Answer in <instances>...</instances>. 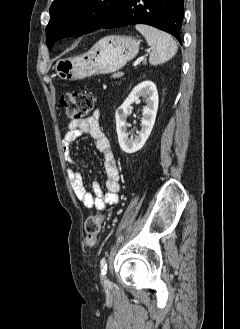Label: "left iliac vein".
<instances>
[{"mask_svg": "<svg viewBox=\"0 0 240 329\" xmlns=\"http://www.w3.org/2000/svg\"><path fill=\"white\" fill-rule=\"evenodd\" d=\"M104 284L105 285L109 284V280L107 278L104 279Z\"/></svg>", "mask_w": 240, "mask_h": 329, "instance_id": "4c4485c4", "label": "left iliac vein"}]
</instances>
